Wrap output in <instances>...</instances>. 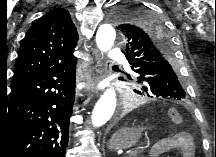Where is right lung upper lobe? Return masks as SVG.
<instances>
[{"instance_id":"obj_1","label":"right lung upper lobe","mask_w":216,"mask_h":157,"mask_svg":"<svg viewBox=\"0 0 216 157\" xmlns=\"http://www.w3.org/2000/svg\"><path fill=\"white\" fill-rule=\"evenodd\" d=\"M77 30L67 10L56 8L26 33L17 58L11 87H18L48 68L76 60Z\"/></svg>"}]
</instances>
